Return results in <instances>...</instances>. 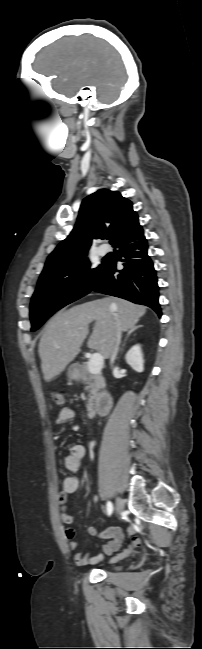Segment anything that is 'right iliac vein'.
I'll list each match as a JSON object with an SVG mask.
<instances>
[{"label":"right iliac vein","instance_id":"right-iliac-vein-1","mask_svg":"<svg viewBox=\"0 0 202 649\" xmlns=\"http://www.w3.org/2000/svg\"><path fill=\"white\" fill-rule=\"evenodd\" d=\"M124 509V502L121 498L117 497L116 498V513L120 514L122 510Z\"/></svg>","mask_w":202,"mask_h":649}]
</instances>
